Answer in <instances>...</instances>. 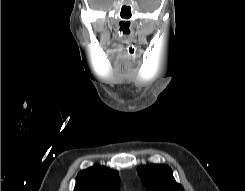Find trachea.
I'll list each match as a JSON object with an SVG mask.
<instances>
[{"instance_id":"obj_1","label":"trachea","mask_w":245,"mask_h":191,"mask_svg":"<svg viewBox=\"0 0 245 191\" xmlns=\"http://www.w3.org/2000/svg\"><path fill=\"white\" fill-rule=\"evenodd\" d=\"M128 54H129L130 56H134V54H135L134 49L130 48V49L128 50Z\"/></svg>"}]
</instances>
